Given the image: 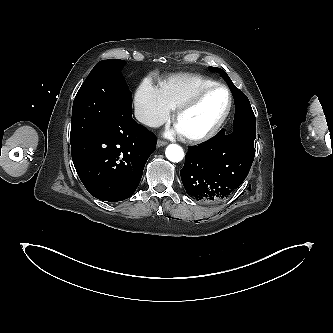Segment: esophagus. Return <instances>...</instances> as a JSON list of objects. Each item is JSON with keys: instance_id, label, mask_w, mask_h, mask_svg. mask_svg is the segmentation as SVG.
<instances>
[{"instance_id": "1", "label": "esophagus", "mask_w": 333, "mask_h": 333, "mask_svg": "<svg viewBox=\"0 0 333 333\" xmlns=\"http://www.w3.org/2000/svg\"><path fill=\"white\" fill-rule=\"evenodd\" d=\"M167 144V142L163 141V140H157V147H162L165 146Z\"/></svg>"}]
</instances>
